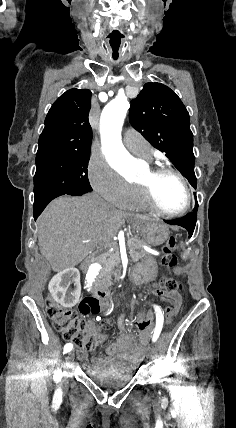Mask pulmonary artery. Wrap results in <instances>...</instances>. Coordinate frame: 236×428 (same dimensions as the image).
<instances>
[{"mask_svg":"<svg viewBox=\"0 0 236 428\" xmlns=\"http://www.w3.org/2000/svg\"><path fill=\"white\" fill-rule=\"evenodd\" d=\"M126 146L131 152L138 156L143 158H149L151 156V150L148 145L141 146L132 142H127Z\"/></svg>","mask_w":236,"mask_h":428,"instance_id":"pulmonary-artery-1","label":"pulmonary artery"}]
</instances>
